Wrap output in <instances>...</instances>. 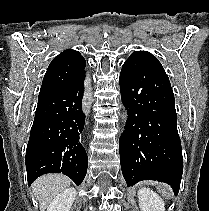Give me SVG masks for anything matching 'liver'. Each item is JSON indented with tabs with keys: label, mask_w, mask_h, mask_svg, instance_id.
Segmentation results:
<instances>
[{
	"label": "liver",
	"mask_w": 209,
	"mask_h": 211,
	"mask_svg": "<svg viewBox=\"0 0 209 211\" xmlns=\"http://www.w3.org/2000/svg\"><path fill=\"white\" fill-rule=\"evenodd\" d=\"M71 180L62 174H47L36 179L32 184V191L39 202L40 211H44L62 191L67 189Z\"/></svg>",
	"instance_id": "obj_1"
}]
</instances>
